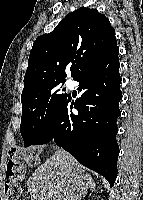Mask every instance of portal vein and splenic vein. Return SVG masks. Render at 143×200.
I'll list each match as a JSON object with an SVG mask.
<instances>
[{
	"label": "portal vein and splenic vein",
	"instance_id": "1",
	"mask_svg": "<svg viewBox=\"0 0 143 200\" xmlns=\"http://www.w3.org/2000/svg\"><path fill=\"white\" fill-rule=\"evenodd\" d=\"M49 194H50L51 196L55 195V193H54V192H50Z\"/></svg>",
	"mask_w": 143,
	"mask_h": 200
}]
</instances>
